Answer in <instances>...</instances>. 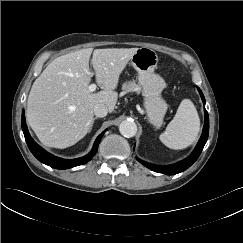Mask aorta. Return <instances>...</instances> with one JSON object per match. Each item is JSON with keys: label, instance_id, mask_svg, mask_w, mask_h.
<instances>
[{"label": "aorta", "instance_id": "762f6f07", "mask_svg": "<svg viewBox=\"0 0 243 243\" xmlns=\"http://www.w3.org/2000/svg\"><path fill=\"white\" fill-rule=\"evenodd\" d=\"M119 131L124 137H133L137 133V125L134 121L124 120L119 125Z\"/></svg>", "mask_w": 243, "mask_h": 243}]
</instances>
